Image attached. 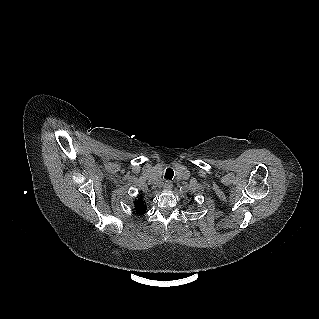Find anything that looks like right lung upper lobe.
Listing matches in <instances>:
<instances>
[{"label":"right lung upper lobe","instance_id":"right-lung-upper-lobe-1","mask_svg":"<svg viewBox=\"0 0 319 319\" xmlns=\"http://www.w3.org/2000/svg\"><path fill=\"white\" fill-rule=\"evenodd\" d=\"M135 209L139 214H143L146 211V205L143 200H137L134 202Z\"/></svg>","mask_w":319,"mask_h":319}]
</instances>
